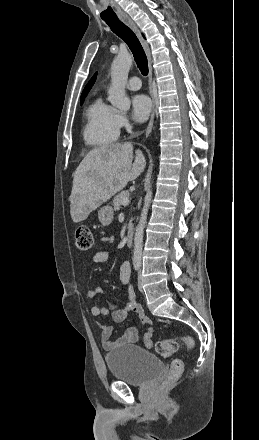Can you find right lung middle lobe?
Masks as SVG:
<instances>
[{"label":"right lung middle lobe","instance_id":"obj_1","mask_svg":"<svg viewBox=\"0 0 259 440\" xmlns=\"http://www.w3.org/2000/svg\"><path fill=\"white\" fill-rule=\"evenodd\" d=\"M83 101H84V98L81 99V104L83 103Z\"/></svg>","mask_w":259,"mask_h":440}]
</instances>
